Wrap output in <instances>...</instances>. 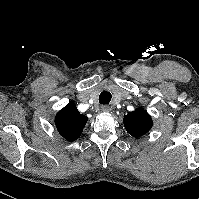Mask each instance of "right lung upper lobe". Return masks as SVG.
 <instances>
[{
  "instance_id": "obj_1",
  "label": "right lung upper lobe",
  "mask_w": 199,
  "mask_h": 199,
  "mask_svg": "<svg viewBox=\"0 0 199 199\" xmlns=\"http://www.w3.org/2000/svg\"><path fill=\"white\" fill-rule=\"evenodd\" d=\"M88 118L80 114L76 105L70 102L55 117L59 133L68 141H74L81 135Z\"/></svg>"
}]
</instances>
